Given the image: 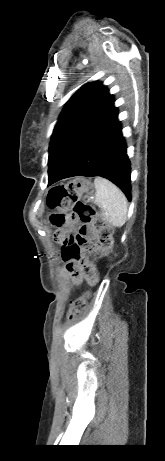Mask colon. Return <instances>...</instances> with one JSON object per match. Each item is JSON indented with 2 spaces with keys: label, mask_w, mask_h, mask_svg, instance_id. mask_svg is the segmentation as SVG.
<instances>
[{
  "label": "colon",
  "mask_w": 165,
  "mask_h": 461,
  "mask_svg": "<svg viewBox=\"0 0 165 461\" xmlns=\"http://www.w3.org/2000/svg\"><path fill=\"white\" fill-rule=\"evenodd\" d=\"M91 188L87 179H77L53 187L47 196V205L52 210H58L51 215V224L57 228L66 227L70 221L79 219L86 225H95L97 239L95 243L88 242L84 248L97 249L100 253L108 252L112 246L113 227L101 217H98L94 209L87 203L80 201L81 195L86 194ZM83 272L90 284L98 280L97 273L90 263L83 266ZM89 293L75 298L70 306L69 320L76 319L86 308Z\"/></svg>",
  "instance_id": "obj_1"
}]
</instances>
